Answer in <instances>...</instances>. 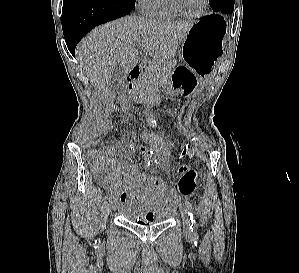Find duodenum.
Here are the masks:
<instances>
[{"label":"duodenum","mask_w":299,"mask_h":273,"mask_svg":"<svg viewBox=\"0 0 299 273\" xmlns=\"http://www.w3.org/2000/svg\"><path fill=\"white\" fill-rule=\"evenodd\" d=\"M141 75V67L136 65L133 66L128 76V92L130 95L134 93L135 83Z\"/></svg>","instance_id":"obj_1"}]
</instances>
